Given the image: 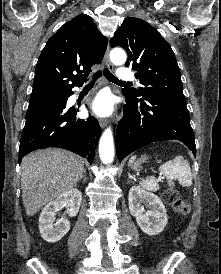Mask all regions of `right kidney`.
I'll return each mask as SVG.
<instances>
[{
	"label": "right kidney",
	"instance_id": "1",
	"mask_svg": "<svg viewBox=\"0 0 221 274\" xmlns=\"http://www.w3.org/2000/svg\"><path fill=\"white\" fill-rule=\"evenodd\" d=\"M81 200V192L78 189H71L44 207L39 217V231L45 241L55 243L67 234L70 229L69 220L61 218L54 223L55 216L64 207L68 208L69 217L76 216Z\"/></svg>",
	"mask_w": 221,
	"mask_h": 274
}]
</instances>
